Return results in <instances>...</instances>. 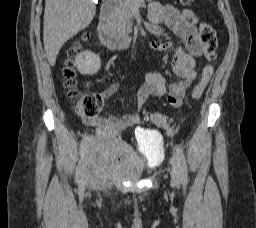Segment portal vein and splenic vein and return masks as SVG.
Returning <instances> with one entry per match:
<instances>
[{
	"instance_id": "portal-vein-and-splenic-vein-1",
	"label": "portal vein and splenic vein",
	"mask_w": 256,
	"mask_h": 228,
	"mask_svg": "<svg viewBox=\"0 0 256 228\" xmlns=\"http://www.w3.org/2000/svg\"><path fill=\"white\" fill-rule=\"evenodd\" d=\"M113 2H116L117 0H111ZM121 1V0H119ZM136 4H140L141 2H143V0H133Z\"/></svg>"
}]
</instances>
